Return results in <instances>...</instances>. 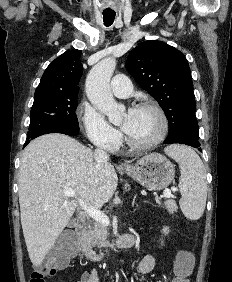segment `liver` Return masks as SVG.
<instances>
[{"mask_svg": "<svg viewBox=\"0 0 232 282\" xmlns=\"http://www.w3.org/2000/svg\"><path fill=\"white\" fill-rule=\"evenodd\" d=\"M117 185L113 165L97 161L77 140L52 133L31 141L21 157L18 194L32 264L43 262L74 212L82 208L80 201L99 210ZM63 186L75 191V199L64 195Z\"/></svg>", "mask_w": 232, "mask_h": 282, "instance_id": "obj_1", "label": "liver"}]
</instances>
